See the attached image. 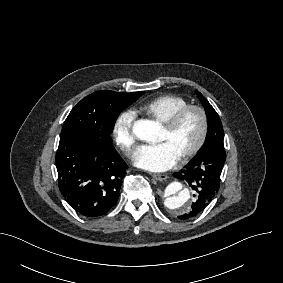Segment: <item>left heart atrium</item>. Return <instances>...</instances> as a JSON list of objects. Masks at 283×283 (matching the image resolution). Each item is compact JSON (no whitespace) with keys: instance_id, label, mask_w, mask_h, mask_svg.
I'll return each instance as SVG.
<instances>
[{"instance_id":"obj_1","label":"left heart atrium","mask_w":283,"mask_h":283,"mask_svg":"<svg viewBox=\"0 0 283 283\" xmlns=\"http://www.w3.org/2000/svg\"><path fill=\"white\" fill-rule=\"evenodd\" d=\"M179 159V154L167 142L141 145L132 156L134 166L148 172L166 171Z\"/></svg>"}]
</instances>
